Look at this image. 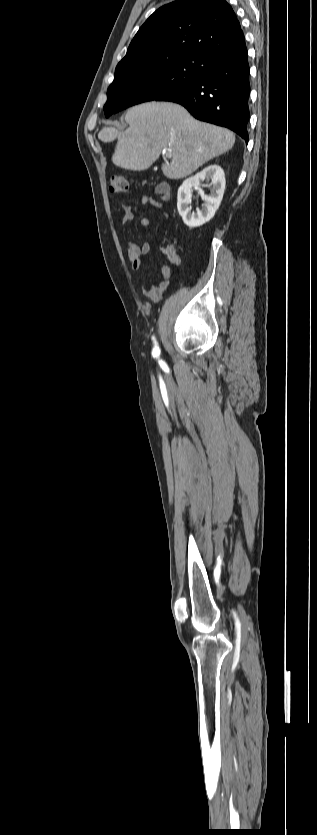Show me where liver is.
<instances>
[{"label":"liver","mask_w":317,"mask_h":835,"mask_svg":"<svg viewBox=\"0 0 317 835\" xmlns=\"http://www.w3.org/2000/svg\"><path fill=\"white\" fill-rule=\"evenodd\" d=\"M124 132L105 127L98 138L104 143L117 139L112 155L114 165L133 171L149 168L162 150L172 157L162 165L169 179H180L192 174L208 160L230 150L234 134L225 128L194 119L180 105L170 102H147L130 108Z\"/></svg>","instance_id":"liver-1"}]
</instances>
